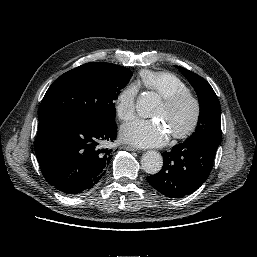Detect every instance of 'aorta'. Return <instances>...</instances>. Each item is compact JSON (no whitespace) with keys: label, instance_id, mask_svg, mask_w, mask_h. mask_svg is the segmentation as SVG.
Segmentation results:
<instances>
[{"label":"aorta","instance_id":"obj_1","mask_svg":"<svg viewBox=\"0 0 257 257\" xmlns=\"http://www.w3.org/2000/svg\"><path fill=\"white\" fill-rule=\"evenodd\" d=\"M159 102L158 95L154 92L142 93L136 102L137 113L148 117ZM142 169L148 174L158 173L163 165L162 156L156 151H147L141 159Z\"/></svg>","mask_w":257,"mask_h":257}]
</instances>
